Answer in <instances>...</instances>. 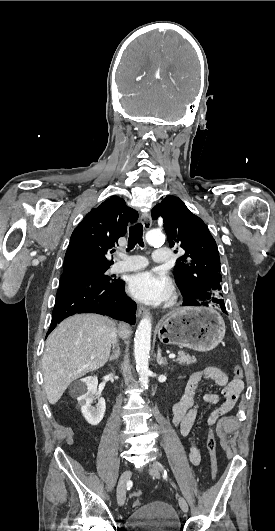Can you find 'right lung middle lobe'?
Returning <instances> with one entry per match:
<instances>
[{"instance_id": "1", "label": "right lung middle lobe", "mask_w": 275, "mask_h": 531, "mask_svg": "<svg viewBox=\"0 0 275 531\" xmlns=\"http://www.w3.org/2000/svg\"><path fill=\"white\" fill-rule=\"evenodd\" d=\"M109 269V266H92V265H83L77 266L69 270L63 271L62 275L72 274V273H85L92 275L103 282H108L111 278L104 273Z\"/></svg>"}]
</instances>
